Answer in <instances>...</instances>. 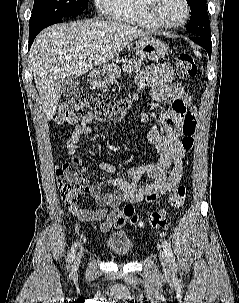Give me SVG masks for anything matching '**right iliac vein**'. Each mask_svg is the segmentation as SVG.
<instances>
[{"label":"right iliac vein","instance_id":"63e3f726","mask_svg":"<svg viewBox=\"0 0 239 303\" xmlns=\"http://www.w3.org/2000/svg\"><path fill=\"white\" fill-rule=\"evenodd\" d=\"M81 256H82L81 253H79L78 256H77V258L75 259L74 264H73V268L74 269L78 268V266H79V264L81 262Z\"/></svg>","mask_w":239,"mask_h":303}]
</instances>
